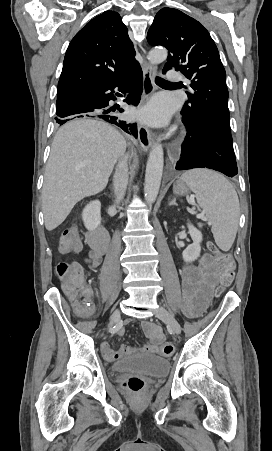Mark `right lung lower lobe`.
Masks as SVG:
<instances>
[{
  "label": "right lung lower lobe",
  "instance_id": "98d812e1",
  "mask_svg": "<svg viewBox=\"0 0 272 451\" xmlns=\"http://www.w3.org/2000/svg\"><path fill=\"white\" fill-rule=\"evenodd\" d=\"M142 79V70L138 63L112 84L90 86L62 94L57 97L56 122L62 125L76 118L102 119L115 124L127 134L137 138L138 132L135 123H128L117 116L108 114L115 109L104 110L103 108L108 106L109 100L116 99L115 95L117 94H114V88H118L120 92L130 90L124 101L137 105L142 91ZM119 111L123 112V109H119Z\"/></svg>",
  "mask_w": 272,
  "mask_h": 451
}]
</instances>
